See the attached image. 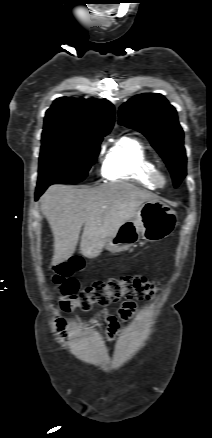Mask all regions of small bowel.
Masks as SVG:
<instances>
[{
    "mask_svg": "<svg viewBox=\"0 0 212 438\" xmlns=\"http://www.w3.org/2000/svg\"><path fill=\"white\" fill-rule=\"evenodd\" d=\"M135 311V304L132 301H126L119 309V318L123 321L129 320ZM98 322V321H95ZM106 324V334L109 340L113 339L121 330V325L118 317L106 315L104 317Z\"/></svg>",
    "mask_w": 212,
    "mask_h": 438,
    "instance_id": "small-bowel-1",
    "label": "small bowel"
}]
</instances>
